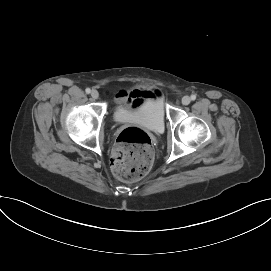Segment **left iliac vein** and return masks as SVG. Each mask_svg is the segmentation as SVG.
I'll list each match as a JSON object with an SVG mask.
<instances>
[{
	"label": "left iliac vein",
	"instance_id": "1",
	"mask_svg": "<svg viewBox=\"0 0 271 271\" xmlns=\"http://www.w3.org/2000/svg\"><path fill=\"white\" fill-rule=\"evenodd\" d=\"M181 102L183 105H188L191 102V98L189 96H184Z\"/></svg>",
	"mask_w": 271,
	"mask_h": 271
}]
</instances>
